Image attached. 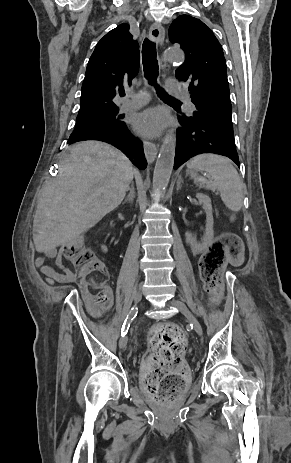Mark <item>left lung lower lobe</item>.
<instances>
[{
  "label": "left lung lower lobe",
  "mask_w": 291,
  "mask_h": 463,
  "mask_svg": "<svg viewBox=\"0 0 291 463\" xmlns=\"http://www.w3.org/2000/svg\"><path fill=\"white\" fill-rule=\"evenodd\" d=\"M178 120L174 169L205 153L226 156L240 167L233 128L183 114Z\"/></svg>",
  "instance_id": "obj_1"
}]
</instances>
